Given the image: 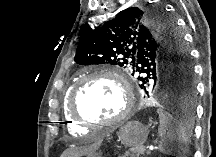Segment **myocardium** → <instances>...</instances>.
Instances as JSON below:
<instances>
[{
    "mask_svg": "<svg viewBox=\"0 0 216 157\" xmlns=\"http://www.w3.org/2000/svg\"><path fill=\"white\" fill-rule=\"evenodd\" d=\"M97 77H104V78L111 79L115 81L121 89L123 100H124V106L120 114L114 119L106 120V121H97V120L88 119L82 116L77 109L76 100L81 87L89 80ZM133 106H134L133 93L128 81L122 74H120L118 71L112 68L97 69L81 77L73 85L68 100L69 115L74 121H76L77 123L85 127H102V126L113 127V126L120 125L129 118Z\"/></svg>",
    "mask_w": 216,
    "mask_h": 157,
    "instance_id": "f54148a6",
    "label": "myocardium"
}]
</instances>
